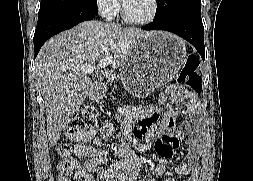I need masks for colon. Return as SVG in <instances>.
<instances>
[{
  "instance_id": "5ec220e1",
  "label": "colon",
  "mask_w": 253,
  "mask_h": 181,
  "mask_svg": "<svg viewBox=\"0 0 253 181\" xmlns=\"http://www.w3.org/2000/svg\"><path fill=\"white\" fill-rule=\"evenodd\" d=\"M198 66L196 57L190 56L179 78V83L192 93L200 92L202 89ZM95 126V119L91 114L83 110L77 111L67 122L65 135L70 140L81 141L94 132ZM59 181H88V177L75 161L66 160L61 166Z\"/></svg>"
}]
</instances>
